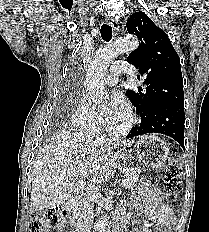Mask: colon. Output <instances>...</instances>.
I'll list each match as a JSON object with an SVG mask.
<instances>
[{
	"mask_svg": "<svg viewBox=\"0 0 209 232\" xmlns=\"http://www.w3.org/2000/svg\"><path fill=\"white\" fill-rule=\"evenodd\" d=\"M182 185V169L180 161L171 160L163 177V188L169 197L176 196ZM60 210L58 207H48L32 214L29 224L30 232H51L58 224Z\"/></svg>",
	"mask_w": 209,
	"mask_h": 232,
	"instance_id": "colon-1",
	"label": "colon"
}]
</instances>
